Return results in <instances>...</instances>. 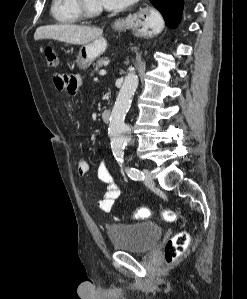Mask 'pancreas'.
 Here are the masks:
<instances>
[{
  "mask_svg": "<svg viewBox=\"0 0 247 299\" xmlns=\"http://www.w3.org/2000/svg\"><path fill=\"white\" fill-rule=\"evenodd\" d=\"M106 59H107L106 57L98 59L94 63V70L98 71L100 67H102L103 65H105Z\"/></svg>",
  "mask_w": 247,
  "mask_h": 299,
  "instance_id": "1",
  "label": "pancreas"
}]
</instances>
